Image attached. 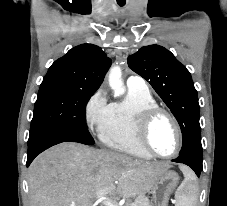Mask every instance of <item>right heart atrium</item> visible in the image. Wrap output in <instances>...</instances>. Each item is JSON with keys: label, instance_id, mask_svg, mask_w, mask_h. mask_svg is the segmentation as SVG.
Instances as JSON below:
<instances>
[{"label": "right heart atrium", "instance_id": "1", "mask_svg": "<svg viewBox=\"0 0 227 206\" xmlns=\"http://www.w3.org/2000/svg\"><path fill=\"white\" fill-rule=\"evenodd\" d=\"M109 109L110 104L107 101L106 92L100 88L91 95L85 105L87 127L92 131L100 133L107 121Z\"/></svg>", "mask_w": 227, "mask_h": 206}]
</instances>
